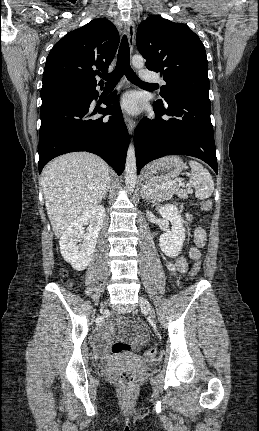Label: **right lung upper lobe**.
<instances>
[{"label": "right lung upper lobe", "instance_id": "1", "mask_svg": "<svg viewBox=\"0 0 259 431\" xmlns=\"http://www.w3.org/2000/svg\"><path fill=\"white\" fill-rule=\"evenodd\" d=\"M118 44L116 27L103 18L67 33L49 52L41 90L59 85L83 90L95 88L96 73L108 71Z\"/></svg>", "mask_w": 259, "mask_h": 431}]
</instances>
